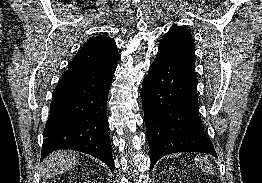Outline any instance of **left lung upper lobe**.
Here are the masks:
<instances>
[{"mask_svg": "<svg viewBox=\"0 0 262 183\" xmlns=\"http://www.w3.org/2000/svg\"><path fill=\"white\" fill-rule=\"evenodd\" d=\"M158 50L195 63V43L186 28L173 25L163 36Z\"/></svg>", "mask_w": 262, "mask_h": 183, "instance_id": "1", "label": "left lung upper lobe"}]
</instances>
